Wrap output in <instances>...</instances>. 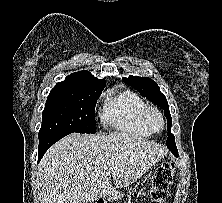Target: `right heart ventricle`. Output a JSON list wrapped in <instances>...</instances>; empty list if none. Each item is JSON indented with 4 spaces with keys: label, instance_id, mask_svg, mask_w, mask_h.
Instances as JSON below:
<instances>
[{
    "label": "right heart ventricle",
    "instance_id": "obj_1",
    "mask_svg": "<svg viewBox=\"0 0 222 203\" xmlns=\"http://www.w3.org/2000/svg\"><path fill=\"white\" fill-rule=\"evenodd\" d=\"M147 108V103L136 93L112 90L105 99L102 121L121 133L147 137L152 134L143 121Z\"/></svg>",
    "mask_w": 222,
    "mask_h": 203
}]
</instances>
